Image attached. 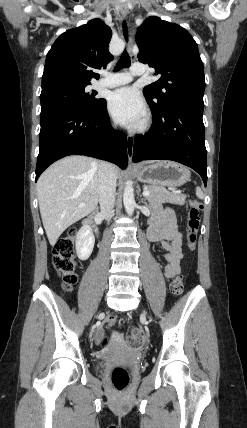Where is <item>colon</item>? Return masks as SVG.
<instances>
[{"label": "colon", "mask_w": 247, "mask_h": 428, "mask_svg": "<svg viewBox=\"0 0 247 428\" xmlns=\"http://www.w3.org/2000/svg\"><path fill=\"white\" fill-rule=\"evenodd\" d=\"M202 204L198 200H191L186 218V237L187 248L193 251L196 247L197 233L200 224V211ZM53 265L58 275L60 276L63 287L69 291L76 283V269L77 263L75 260V240L73 236H67L60 239L53 251ZM171 293L175 296L182 294L184 290L183 278L181 275L175 276L170 283ZM116 322V316L109 315L104 323L105 328H109ZM144 343L143 332L140 328L135 327L132 329L131 335L128 338V344L135 349L142 347ZM130 377L124 368H117L112 374V383L114 387L122 391L128 383Z\"/></svg>", "instance_id": "5ec220e1"}]
</instances>
